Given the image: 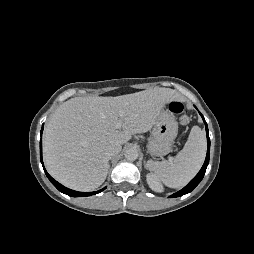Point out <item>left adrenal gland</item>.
Masks as SVG:
<instances>
[{
  "mask_svg": "<svg viewBox=\"0 0 254 254\" xmlns=\"http://www.w3.org/2000/svg\"><path fill=\"white\" fill-rule=\"evenodd\" d=\"M144 165H145V168H146V169H148V167H147V163H146V162H144Z\"/></svg>",
  "mask_w": 254,
  "mask_h": 254,
  "instance_id": "left-adrenal-gland-1",
  "label": "left adrenal gland"
}]
</instances>
